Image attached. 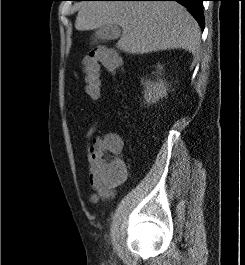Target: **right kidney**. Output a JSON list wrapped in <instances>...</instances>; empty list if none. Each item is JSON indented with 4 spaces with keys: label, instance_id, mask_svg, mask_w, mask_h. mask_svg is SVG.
Masks as SVG:
<instances>
[{
    "label": "right kidney",
    "instance_id": "1",
    "mask_svg": "<svg viewBox=\"0 0 245 265\" xmlns=\"http://www.w3.org/2000/svg\"><path fill=\"white\" fill-rule=\"evenodd\" d=\"M159 70L162 69L161 65L157 66ZM144 99L147 104H153L167 95V84L165 81L159 79L157 82L146 81L144 84Z\"/></svg>",
    "mask_w": 245,
    "mask_h": 265
}]
</instances>
